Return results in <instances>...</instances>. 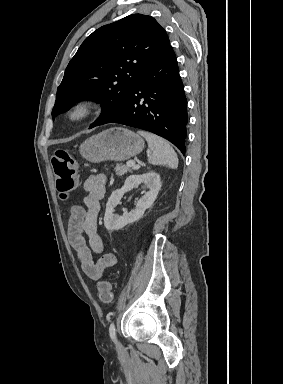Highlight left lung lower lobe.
Segmentation results:
<instances>
[{
  "label": "left lung lower lobe",
  "mask_w": 283,
  "mask_h": 384,
  "mask_svg": "<svg viewBox=\"0 0 283 384\" xmlns=\"http://www.w3.org/2000/svg\"><path fill=\"white\" fill-rule=\"evenodd\" d=\"M155 133L186 152L187 101L176 55L169 45L134 85L126 105L103 123Z\"/></svg>",
  "instance_id": "left-lung-lower-lobe-1"
}]
</instances>
